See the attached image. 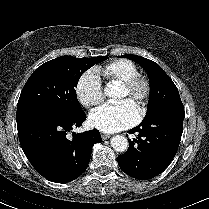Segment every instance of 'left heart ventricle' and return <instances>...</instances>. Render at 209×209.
<instances>
[{"mask_svg":"<svg viewBox=\"0 0 209 209\" xmlns=\"http://www.w3.org/2000/svg\"><path fill=\"white\" fill-rule=\"evenodd\" d=\"M142 96H143V88L141 86L137 87L136 90L131 94L127 93L123 89H120L117 102L118 103L128 102L136 109V111H138L142 102Z\"/></svg>","mask_w":209,"mask_h":209,"instance_id":"obj_1","label":"left heart ventricle"}]
</instances>
